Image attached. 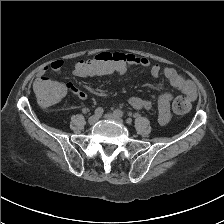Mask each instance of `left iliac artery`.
Wrapping results in <instances>:
<instances>
[{"label": "left iliac artery", "mask_w": 224, "mask_h": 224, "mask_svg": "<svg viewBox=\"0 0 224 224\" xmlns=\"http://www.w3.org/2000/svg\"><path fill=\"white\" fill-rule=\"evenodd\" d=\"M114 114H116L119 117H122L124 115V113L121 110H119V109L115 110Z\"/></svg>", "instance_id": "left-iliac-artery-1"}]
</instances>
